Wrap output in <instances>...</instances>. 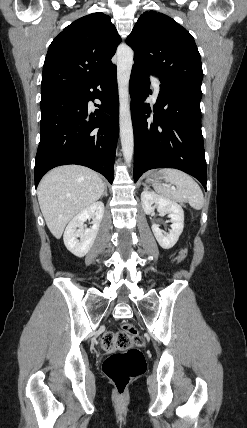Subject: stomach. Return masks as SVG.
Wrapping results in <instances>:
<instances>
[{"label": "stomach", "mask_w": 247, "mask_h": 428, "mask_svg": "<svg viewBox=\"0 0 247 428\" xmlns=\"http://www.w3.org/2000/svg\"><path fill=\"white\" fill-rule=\"evenodd\" d=\"M160 173L158 172H156V173H153V174H151V176H149L148 178H147V182H151V181H154V180H158L159 178H160V175H159Z\"/></svg>", "instance_id": "0dacf381"}]
</instances>
